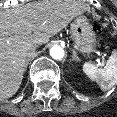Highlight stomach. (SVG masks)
<instances>
[{
	"instance_id": "1",
	"label": "stomach",
	"mask_w": 117,
	"mask_h": 117,
	"mask_svg": "<svg viewBox=\"0 0 117 117\" xmlns=\"http://www.w3.org/2000/svg\"><path fill=\"white\" fill-rule=\"evenodd\" d=\"M71 38L81 53H91L95 50L96 37L88 19L78 15L70 26Z\"/></svg>"
}]
</instances>
